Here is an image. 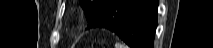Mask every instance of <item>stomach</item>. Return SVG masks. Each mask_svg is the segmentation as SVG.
<instances>
[{
  "label": "stomach",
  "mask_w": 213,
  "mask_h": 48,
  "mask_svg": "<svg viewBox=\"0 0 213 48\" xmlns=\"http://www.w3.org/2000/svg\"><path fill=\"white\" fill-rule=\"evenodd\" d=\"M98 32H104V33H106L107 31H105V30H98Z\"/></svg>",
  "instance_id": "1"
}]
</instances>
